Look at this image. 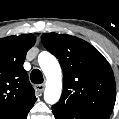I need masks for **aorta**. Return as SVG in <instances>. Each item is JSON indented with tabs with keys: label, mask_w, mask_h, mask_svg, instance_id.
Masks as SVG:
<instances>
[{
	"label": "aorta",
	"mask_w": 119,
	"mask_h": 119,
	"mask_svg": "<svg viewBox=\"0 0 119 119\" xmlns=\"http://www.w3.org/2000/svg\"><path fill=\"white\" fill-rule=\"evenodd\" d=\"M39 65L46 76L44 100L48 104L58 102L62 92V72L57 59L49 52H41L38 57Z\"/></svg>",
	"instance_id": "aorta-1"
}]
</instances>
